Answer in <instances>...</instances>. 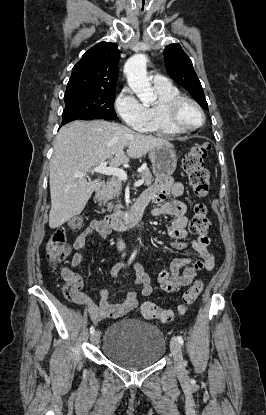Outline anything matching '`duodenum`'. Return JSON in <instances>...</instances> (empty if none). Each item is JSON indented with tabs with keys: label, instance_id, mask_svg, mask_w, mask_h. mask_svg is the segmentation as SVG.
Listing matches in <instances>:
<instances>
[{
	"label": "duodenum",
	"instance_id": "obj_1",
	"mask_svg": "<svg viewBox=\"0 0 266 415\" xmlns=\"http://www.w3.org/2000/svg\"><path fill=\"white\" fill-rule=\"evenodd\" d=\"M105 184L100 182L95 188L96 195H101ZM146 205L137 200L127 211L114 213L104 218V224L109 229L124 230L135 225L143 215Z\"/></svg>",
	"mask_w": 266,
	"mask_h": 415
}]
</instances>
